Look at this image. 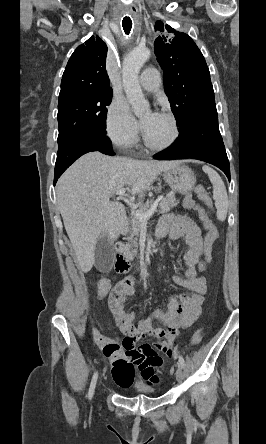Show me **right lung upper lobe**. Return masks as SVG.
I'll use <instances>...</instances> for the list:
<instances>
[{"label": "right lung upper lobe", "instance_id": "right-lung-upper-lobe-1", "mask_svg": "<svg viewBox=\"0 0 266 444\" xmlns=\"http://www.w3.org/2000/svg\"><path fill=\"white\" fill-rule=\"evenodd\" d=\"M107 46L97 36L89 38L71 55L61 81L59 100L72 96L112 90L106 72Z\"/></svg>", "mask_w": 266, "mask_h": 444}]
</instances>
